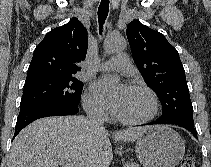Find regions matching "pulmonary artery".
Returning a JSON list of instances; mask_svg holds the SVG:
<instances>
[{
	"label": "pulmonary artery",
	"instance_id": "e3ab8cb5",
	"mask_svg": "<svg viewBox=\"0 0 211 167\" xmlns=\"http://www.w3.org/2000/svg\"><path fill=\"white\" fill-rule=\"evenodd\" d=\"M131 61L127 54L120 53L111 59L103 62L99 66V70L103 72L114 71V70H129L131 68Z\"/></svg>",
	"mask_w": 211,
	"mask_h": 167
}]
</instances>
